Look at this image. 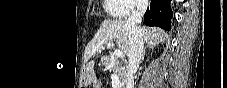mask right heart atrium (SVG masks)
<instances>
[{"instance_id": "right-heart-atrium-1", "label": "right heart atrium", "mask_w": 227, "mask_h": 88, "mask_svg": "<svg viewBox=\"0 0 227 88\" xmlns=\"http://www.w3.org/2000/svg\"><path fill=\"white\" fill-rule=\"evenodd\" d=\"M124 1L127 4L126 16L135 14L145 4L144 0H124Z\"/></svg>"}]
</instances>
